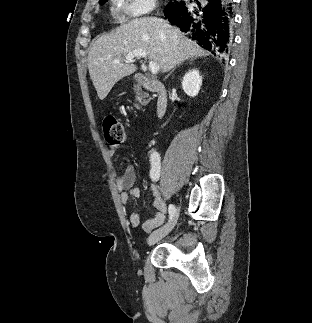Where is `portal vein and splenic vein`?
I'll use <instances>...</instances> for the list:
<instances>
[{
	"label": "portal vein and splenic vein",
	"mask_w": 312,
	"mask_h": 323,
	"mask_svg": "<svg viewBox=\"0 0 312 323\" xmlns=\"http://www.w3.org/2000/svg\"><path fill=\"white\" fill-rule=\"evenodd\" d=\"M138 56H140V58H147V54L144 50H134V52H130V54L125 56V60L126 62H132L133 58H138ZM119 62H121V60H114L113 64H119ZM149 70L151 74H158L159 66L154 64V62H149Z\"/></svg>",
	"instance_id": "portal-vein-and-splenic-vein-1"
}]
</instances>
